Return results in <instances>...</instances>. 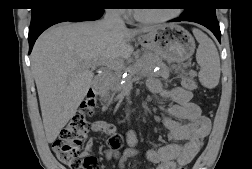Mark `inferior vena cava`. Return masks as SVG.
Segmentation results:
<instances>
[{
	"mask_svg": "<svg viewBox=\"0 0 252 169\" xmlns=\"http://www.w3.org/2000/svg\"><path fill=\"white\" fill-rule=\"evenodd\" d=\"M104 23L108 27H112L116 29L125 28V23L118 9H106L105 16H104Z\"/></svg>",
	"mask_w": 252,
	"mask_h": 169,
	"instance_id": "602c4592",
	"label": "inferior vena cava"
}]
</instances>
